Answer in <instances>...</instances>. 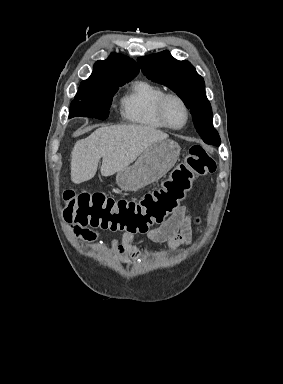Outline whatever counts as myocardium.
I'll return each mask as SVG.
<instances>
[{"instance_id":"myocardium-1","label":"myocardium","mask_w":283,"mask_h":384,"mask_svg":"<svg viewBox=\"0 0 283 384\" xmlns=\"http://www.w3.org/2000/svg\"><path fill=\"white\" fill-rule=\"evenodd\" d=\"M170 99L177 100L181 104V106L185 112V121H184L183 125H181L179 127H174L171 124H169V122L167 121L166 115H165L166 105ZM155 116H156L157 120L161 123V125L164 126L166 129L177 131V130L183 129L188 124L189 119H190V111H189L188 105L186 104V102L184 101V99L181 96H179L175 93H165L159 99V101L156 104Z\"/></svg>"}]
</instances>
